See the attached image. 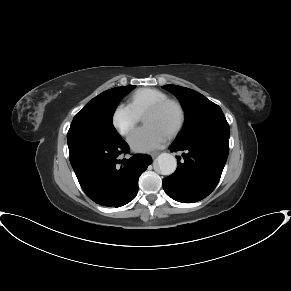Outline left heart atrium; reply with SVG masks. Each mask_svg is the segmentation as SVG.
<instances>
[{
    "label": "left heart atrium",
    "instance_id": "1",
    "mask_svg": "<svg viewBox=\"0 0 291 291\" xmlns=\"http://www.w3.org/2000/svg\"><path fill=\"white\" fill-rule=\"evenodd\" d=\"M168 140V132L152 124H145L131 134L129 144L134 151L149 152L163 147Z\"/></svg>",
    "mask_w": 291,
    "mask_h": 291
}]
</instances>
